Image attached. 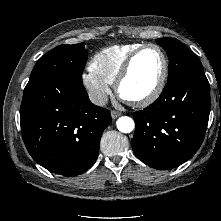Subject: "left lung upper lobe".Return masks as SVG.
Wrapping results in <instances>:
<instances>
[{
	"label": "left lung upper lobe",
	"instance_id": "obj_1",
	"mask_svg": "<svg viewBox=\"0 0 221 221\" xmlns=\"http://www.w3.org/2000/svg\"><path fill=\"white\" fill-rule=\"evenodd\" d=\"M156 42L165 49L169 58L168 82L165 86L171 85L188 73L203 71L200 61L179 40L175 38H159Z\"/></svg>",
	"mask_w": 221,
	"mask_h": 221
}]
</instances>
